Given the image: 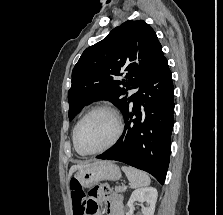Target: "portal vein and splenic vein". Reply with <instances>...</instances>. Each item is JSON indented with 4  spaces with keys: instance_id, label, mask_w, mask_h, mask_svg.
<instances>
[{
    "instance_id": "18ae733b",
    "label": "portal vein and splenic vein",
    "mask_w": 223,
    "mask_h": 215,
    "mask_svg": "<svg viewBox=\"0 0 223 215\" xmlns=\"http://www.w3.org/2000/svg\"><path fill=\"white\" fill-rule=\"evenodd\" d=\"M121 187H122L123 190H126V189H127V186H126L125 183H122V184H121Z\"/></svg>"
}]
</instances>
